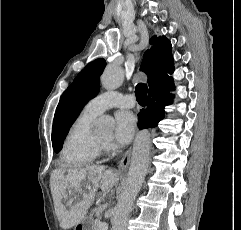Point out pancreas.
I'll use <instances>...</instances> for the list:
<instances>
[{"instance_id": "pancreas-1", "label": "pancreas", "mask_w": 241, "mask_h": 230, "mask_svg": "<svg viewBox=\"0 0 241 230\" xmlns=\"http://www.w3.org/2000/svg\"><path fill=\"white\" fill-rule=\"evenodd\" d=\"M93 230H102V228L98 225V223L95 222Z\"/></svg>"}]
</instances>
